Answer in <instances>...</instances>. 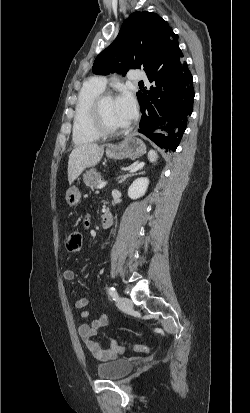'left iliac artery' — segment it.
<instances>
[{"instance_id": "1", "label": "left iliac artery", "mask_w": 250, "mask_h": 413, "mask_svg": "<svg viewBox=\"0 0 250 413\" xmlns=\"http://www.w3.org/2000/svg\"><path fill=\"white\" fill-rule=\"evenodd\" d=\"M108 292H109V294H110V296L112 297L113 300L118 299V293H117V291L115 290L114 287H109Z\"/></svg>"}]
</instances>
